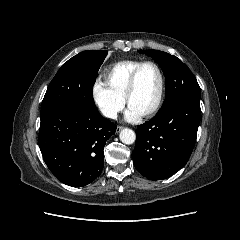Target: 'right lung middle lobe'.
Here are the masks:
<instances>
[{"label":"right lung middle lobe","instance_id":"obj_1","mask_svg":"<svg viewBox=\"0 0 240 240\" xmlns=\"http://www.w3.org/2000/svg\"><path fill=\"white\" fill-rule=\"evenodd\" d=\"M106 56V50H87L69 59L50 82L40 113L64 105L95 111L93 85Z\"/></svg>","mask_w":240,"mask_h":240}]
</instances>
